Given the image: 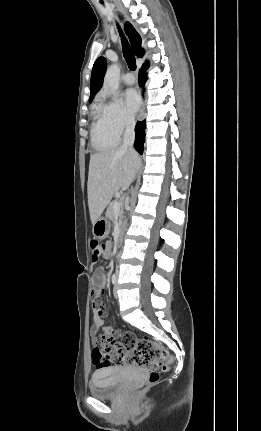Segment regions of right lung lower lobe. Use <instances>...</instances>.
<instances>
[{"label":"right lung lower lobe","mask_w":261,"mask_h":431,"mask_svg":"<svg viewBox=\"0 0 261 431\" xmlns=\"http://www.w3.org/2000/svg\"><path fill=\"white\" fill-rule=\"evenodd\" d=\"M148 68V64L145 63L140 72H139V83L144 86L147 80L146 70ZM145 121L137 122L135 127L136 138L134 142L135 149L142 154L144 148V140H145Z\"/></svg>","instance_id":"obj_1"}]
</instances>
